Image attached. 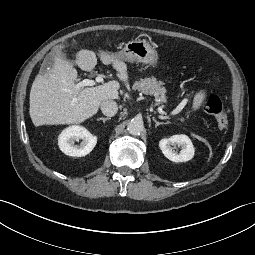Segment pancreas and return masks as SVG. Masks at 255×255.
I'll use <instances>...</instances> for the list:
<instances>
[{
  "label": "pancreas",
  "mask_w": 255,
  "mask_h": 255,
  "mask_svg": "<svg viewBox=\"0 0 255 255\" xmlns=\"http://www.w3.org/2000/svg\"><path fill=\"white\" fill-rule=\"evenodd\" d=\"M134 90H138L147 95H153L155 97L156 104H163L167 102L166 89L163 87V82L157 81L156 78H145L136 81L132 87Z\"/></svg>",
  "instance_id": "1"
}]
</instances>
